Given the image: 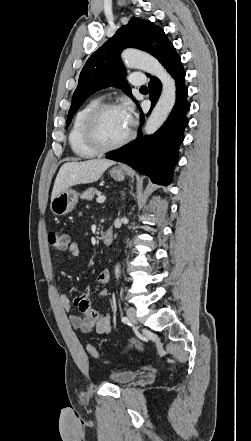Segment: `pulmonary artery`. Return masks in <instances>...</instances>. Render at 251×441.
<instances>
[{"label":"pulmonary artery","mask_w":251,"mask_h":441,"mask_svg":"<svg viewBox=\"0 0 251 441\" xmlns=\"http://www.w3.org/2000/svg\"><path fill=\"white\" fill-rule=\"evenodd\" d=\"M129 81L132 85L141 86V85L145 84L146 79H145L144 75H142L140 73H132L129 76Z\"/></svg>","instance_id":"obj_1"}]
</instances>
